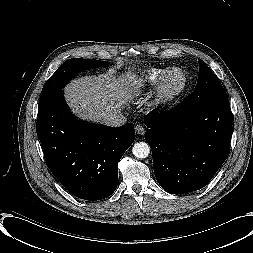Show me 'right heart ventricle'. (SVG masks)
Returning <instances> with one entry per match:
<instances>
[{"instance_id":"right-heart-ventricle-1","label":"right heart ventricle","mask_w":253,"mask_h":253,"mask_svg":"<svg viewBox=\"0 0 253 253\" xmlns=\"http://www.w3.org/2000/svg\"><path fill=\"white\" fill-rule=\"evenodd\" d=\"M166 69L152 68L147 71L145 75L140 77L135 83V89L137 91L147 90L158 82L160 77L164 74Z\"/></svg>"}]
</instances>
